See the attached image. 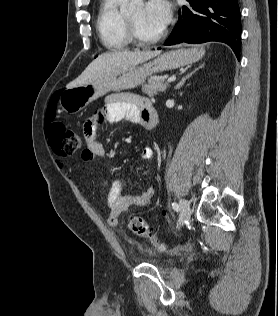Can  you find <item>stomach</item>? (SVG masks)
<instances>
[{"label":"stomach","instance_id":"1","mask_svg":"<svg viewBox=\"0 0 278 316\" xmlns=\"http://www.w3.org/2000/svg\"><path fill=\"white\" fill-rule=\"evenodd\" d=\"M204 53V49L198 47L166 52L143 65L129 67L83 86L67 88L60 94V107L67 113H78L90 102L111 91L135 88L153 73L190 65L199 61Z\"/></svg>","mask_w":278,"mask_h":316}]
</instances>
